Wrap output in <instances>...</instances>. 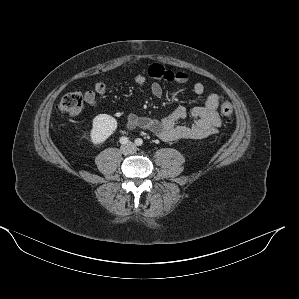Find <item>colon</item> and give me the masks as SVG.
<instances>
[{"mask_svg": "<svg viewBox=\"0 0 299 299\" xmlns=\"http://www.w3.org/2000/svg\"><path fill=\"white\" fill-rule=\"evenodd\" d=\"M84 97L83 94L76 90L65 94L58 104V112L63 116H78L83 109ZM220 112L230 118L233 114V103L230 99H222L220 103Z\"/></svg>", "mask_w": 299, "mask_h": 299, "instance_id": "5ec220e1", "label": "colon"}]
</instances>
